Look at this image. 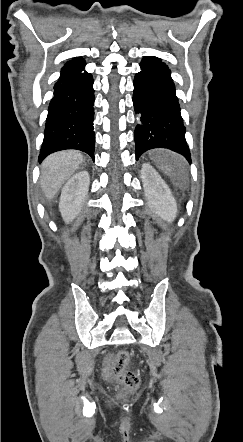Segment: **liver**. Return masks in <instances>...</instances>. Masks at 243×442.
I'll return each mask as SVG.
<instances>
[{
  "label": "liver",
  "instance_id": "liver-1",
  "mask_svg": "<svg viewBox=\"0 0 243 442\" xmlns=\"http://www.w3.org/2000/svg\"><path fill=\"white\" fill-rule=\"evenodd\" d=\"M83 161V154L76 150L56 152L43 161L41 165V187L48 200H51L58 193Z\"/></svg>",
  "mask_w": 243,
  "mask_h": 442
}]
</instances>
